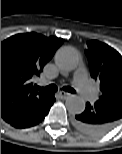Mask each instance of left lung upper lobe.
Instances as JSON below:
<instances>
[{
    "label": "left lung upper lobe",
    "instance_id": "obj_1",
    "mask_svg": "<svg viewBox=\"0 0 122 154\" xmlns=\"http://www.w3.org/2000/svg\"><path fill=\"white\" fill-rule=\"evenodd\" d=\"M87 44L85 53L92 78L100 82V98L122 97V56L97 40Z\"/></svg>",
    "mask_w": 122,
    "mask_h": 154
}]
</instances>
